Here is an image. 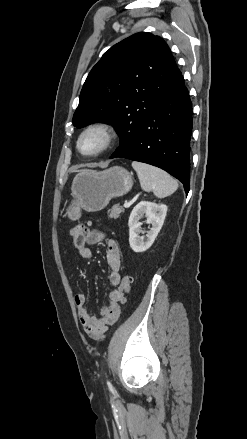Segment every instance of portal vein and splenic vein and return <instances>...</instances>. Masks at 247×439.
<instances>
[{
    "label": "portal vein and splenic vein",
    "instance_id": "portal-vein-and-splenic-vein-1",
    "mask_svg": "<svg viewBox=\"0 0 247 439\" xmlns=\"http://www.w3.org/2000/svg\"><path fill=\"white\" fill-rule=\"evenodd\" d=\"M130 205H131V203H130V202H128V201H125V202H124V205H123V206H124L125 208H128V207H130Z\"/></svg>",
    "mask_w": 247,
    "mask_h": 439
}]
</instances>
